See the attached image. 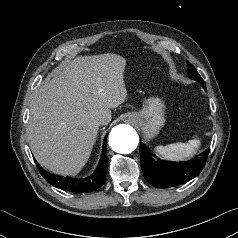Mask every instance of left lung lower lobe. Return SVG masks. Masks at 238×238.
I'll return each mask as SVG.
<instances>
[{
	"label": "left lung lower lobe",
	"instance_id": "left-lung-lower-lobe-1",
	"mask_svg": "<svg viewBox=\"0 0 238 238\" xmlns=\"http://www.w3.org/2000/svg\"><path fill=\"white\" fill-rule=\"evenodd\" d=\"M209 149L197 160L184 162L155 161L144 144L140 145V162L145 179L158 188H169L190 181L204 168Z\"/></svg>",
	"mask_w": 238,
	"mask_h": 238
}]
</instances>
